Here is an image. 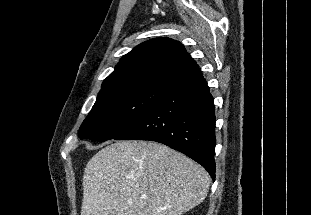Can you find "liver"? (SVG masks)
Wrapping results in <instances>:
<instances>
[{
	"instance_id": "liver-1",
	"label": "liver",
	"mask_w": 311,
	"mask_h": 215,
	"mask_svg": "<svg viewBox=\"0 0 311 215\" xmlns=\"http://www.w3.org/2000/svg\"><path fill=\"white\" fill-rule=\"evenodd\" d=\"M209 185L202 166L163 144L117 141L85 167L81 215H183Z\"/></svg>"
}]
</instances>
